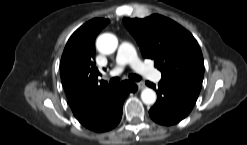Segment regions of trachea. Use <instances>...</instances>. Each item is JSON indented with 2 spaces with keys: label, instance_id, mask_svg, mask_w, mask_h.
I'll list each match as a JSON object with an SVG mask.
<instances>
[{
  "label": "trachea",
  "instance_id": "trachea-1",
  "mask_svg": "<svg viewBox=\"0 0 247 145\" xmlns=\"http://www.w3.org/2000/svg\"><path fill=\"white\" fill-rule=\"evenodd\" d=\"M129 79L132 81H140L141 77L139 75H136V74H130ZM119 80H120L119 77L111 78L110 84H117V83H119Z\"/></svg>",
  "mask_w": 247,
  "mask_h": 145
}]
</instances>
